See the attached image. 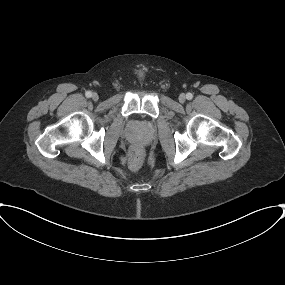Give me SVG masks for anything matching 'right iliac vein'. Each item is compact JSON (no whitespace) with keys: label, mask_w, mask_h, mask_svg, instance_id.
<instances>
[{"label":"right iliac vein","mask_w":285,"mask_h":285,"mask_svg":"<svg viewBox=\"0 0 285 285\" xmlns=\"http://www.w3.org/2000/svg\"><path fill=\"white\" fill-rule=\"evenodd\" d=\"M92 99H93L94 101H97V100L99 99L98 94H97V93H93V94H92Z\"/></svg>","instance_id":"1"}]
</instances>
